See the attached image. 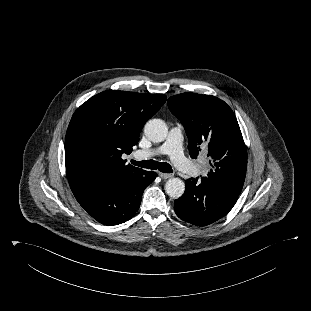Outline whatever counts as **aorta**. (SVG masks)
I'll use <instances>...</instances> for the list:
<instances>
[{"label":"aorta","instance_id":"aorta-1","mask_svg":"<svg viewBox=\"0 0 311 311\" xmlns=\"http://www.w3.org/2000/svg\"><path fill=\"white\" fill-rule=\"evenodd\" d=\"M146 137L152 142H162L166 139L168 128L161 119H151L144 126ZM166 193L173 198H179L185 191V184L179 178H170L165 184Z\"/></svg>","mask_w":311,"mask_h":311}]
</instances>
